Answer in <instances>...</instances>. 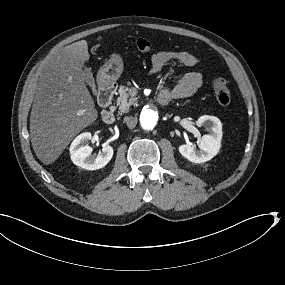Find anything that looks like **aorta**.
I'll use <instances>...</instances> for the list:
<instances>
[{
  "mask_svg": "<svg viewBox=\"0 0 285 285\" xmlns=\"http://www.w3.org/2000/svg\"><path fill=\"white\" fill-rule=\"evenodd\" d=\"M139 123L143 130L149 133H156L164 127L166 116L160 108L149 106L141 112Z\"/></svg>",
  "mask_w": 285,
  "mask_h": 285,
  "instance_id": "obj_1",
  "label": "aorta"
}]
</instances>
